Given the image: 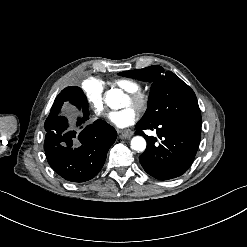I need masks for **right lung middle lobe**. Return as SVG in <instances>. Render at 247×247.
<instances>
[{
    "label": "right lung middle lobe",
    "instance_id": "right-lung-middle-lobe-1",
    "mask_svg": "<svg viewBox=\"0 0 247 247\" xmlns=\"http://www.w3.org/2000/svg\"><path fill=\"white\" fill-rule=\"evenodd\" d=\"M72 88L75 91V93L77 94V96L79 97V99L84 104H87V99H86V96L84 95L83 91L79 87H76V86H73Z\"/></svg>",
    "mask_w": 247,
    "mask_h": 247
}]
</instances>
